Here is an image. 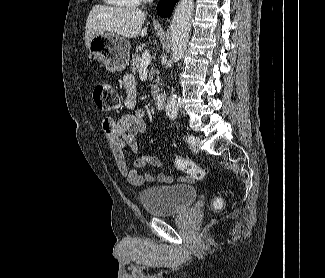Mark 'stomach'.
<instances>
[{
    "instance_id": "obj_1",
    "label": "stomach",
    "mask_w": 325,
    "mask_h": 278,
    "mask_svg": "<svg viewBox=\"0 0 325 278\" xmlns=\"http://www.w3.org/2000/svg\"><path fill=\"white\" fill-rule=\"evenodd\" d=\"M88 50L110 71H122L129 64L130 43L126 38L111 33H96Z\"/></svg>"
}]
</instances>
